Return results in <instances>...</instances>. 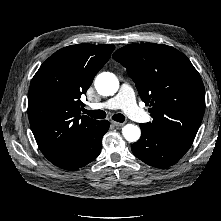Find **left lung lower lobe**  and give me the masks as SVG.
<instances>
[{"instance_id": "1", "label": "left lung lower lobe", "mask_w": 221, "mask_h": 221, "mask_svg": "<svg viewBox=\"0 0 221 221\" xmlns=\"http://www.w3.org/2000/svg\"><path fill=\"white\" fill-rule=\"evenodd\" d=\"M141 138L131 145L133 154L146 164L166 168L181 159L192 145L193 139L180 134L140 124Z\"/></svg>"}]
</instances>
